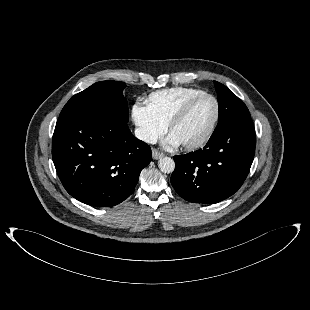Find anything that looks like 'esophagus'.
Listing matches in <instances>:
<instances>
[{
    "instance_id": "34e87169",
    "label": "esophagus",
    "mask_w": 310,
    "mask_h": 310,
    "mask_svg": "<svg viewBox=\"0 0 310 310\" xmlns=\"http://www.w3.org/2000/svg\"><path fill=\"white\" fill-rule=\"evenodd\" d=\"M163 156V153H161L159 150H157V149H152V157H153V159H155V160H158V159H160L161 157Z\"/></svg>"
}]
</instances>
